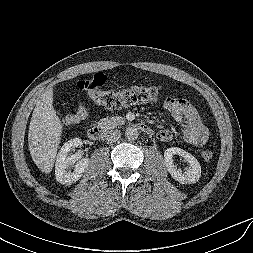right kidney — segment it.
Segmentation results:
<instances>
[{
    "label": "right kidney",
    "mask_w": 253,
    "mask_h": 253,
    "mask_svg": "<svg viewBox=\"0 0 253 253\" xmlns=\"http://www.w3.org/2000/svg\"><path fill=\"white\" fill-rule=\"evenodd\" d=\"M82 145V141L79 138H74L66 142L60 149L57 154L56 163H55V176L59 183L63 185H71L72 183L77 182L86 168L89 165V158H81L79 154H73L69 156V152L75 147ZM75 165L73 172H69L67 169Z\"/></svg>",
    "instance_id": "ca27d5eb"
}]
</instances>
